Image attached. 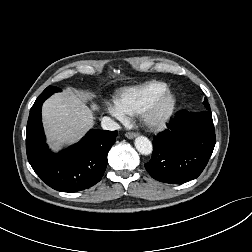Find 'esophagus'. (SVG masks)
Returning <instances> with one entry per match:
<instances>
[{"mask_svg": "<svg viewBox=\"0 0 252 252\" xmlns=\"http://www.w3.org/2000/svg\"><path fill=\"white\" fill-rule=\"evenodd\" d=\"M125 136H126L128 139H133V138H135L136 136H138V133H136V132H127V133L125 134Z\"/></svg>", "mask_w": 252, "mask_h": 252, "instance_id": "obj_1", "label": "esophagus"}]
</instances>
